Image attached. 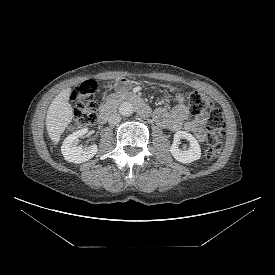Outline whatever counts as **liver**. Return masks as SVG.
<instances>
[{"label":"liver","mask_w":275,"mask_h":275,"mask_svg":"<svg viewBox=\"0 0 275 275\" xmlns=\"http://www.w3.org/2000/svg\"><path fill=\"white\" fill-rule=\"evenodd\" d=\"M71 88L62 90L49 105L46 115V129L52 142L57 145L62 133L72 122L74 112L69 97Z\"/></svg>","instance_id":"6515ba94"}]
</instances>
